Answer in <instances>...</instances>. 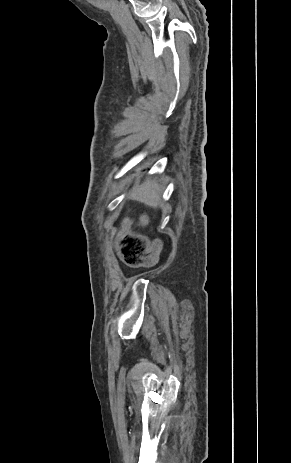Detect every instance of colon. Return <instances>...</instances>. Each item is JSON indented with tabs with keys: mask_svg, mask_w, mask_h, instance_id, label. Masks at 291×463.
Wrapping results in <instances>:
<instances>
[{
	"mask_svg": "<svg viewBox=\"0 0 291 463\" xmlns=\"http://www.w3.org/2000/svg\"><path fill=\"white\" fill-rule=\"evenodd\" d=\"M120 255L128 266L144 265L151 257L147 253V243L143 237L125 229L119 238Z\"/></svg>",
	"mask_w": 291,
	"mask_h": 463,
	"instance_id": "colon-1",
	"label": "colon"
}]
</instances>
